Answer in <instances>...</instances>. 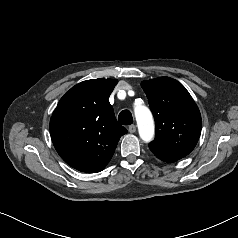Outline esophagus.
<instances>
[{"mask_svg":"<svg viewBox=\"0 0 238 238\" xmlns=\"http://www.w3.org/2000/svg\"><path fill=\"white\" fill-rule=\"evenodd\" d=\"M128 131L130 132V133H135L136 132V126L135 125H130L129 127H128Z\"/></svg>","mask_w":238,"mask_h":238,"instance_id":"34e87169","label":"esophagus"}]
</instances>
